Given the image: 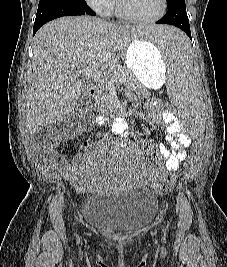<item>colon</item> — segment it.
<instances>
[{
	"label": "colon",
	"mask_w": 227,
	"mask_h": 267,
	"mask_svg": "<svg viewBox=\"0 0 227 267\" xmlns=\"http://www.w3.org/2000/svg\"><path fill=\"white\" fill-rule=\"evenodd\" d=\"M163 108L166 113H175V105L171 104L170 100H165ZM89 106L87 103H82L79 106V109L76 114V121H82L87 113ZM71 125L67 122H56L54 123L49 130L43 135L39 136L37 141L41 143V145L45 146L48 149H53L60 142L68 137L70 134ZM185 159H189V156H185ZM184 171H189V161L183 160L178 161V166L176 169H163L162 175L159 178L156 192L160 193H169L174 185V178H179L182 176Z\"/></svg>",
	"instance_id": "obj_1"
}]
</instances>
